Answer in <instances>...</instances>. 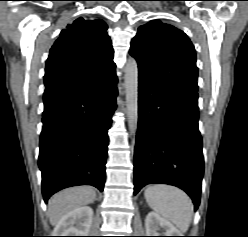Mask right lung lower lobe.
Returning <instances> with one entry per match:
<instances>
[{
  "mask_svg": "<svg viewBox=\"0 0 248 237\" xmlns=\"http://www.w3.org/2000/svg\"><path fill=\"white\" fill-rule=\"evenodd\" d=\"M116 84L114 69L85 83L44 92L39 168L45 202L70 186L92 185L103 191Z\"/></svg>",
  "mask_w": 248,
  "mask_h": 237,
  "instance_id": "right-lung-lower-lobe-1",
  "label": "right lung lower lobe"
}]
</instances>
